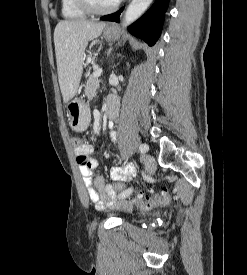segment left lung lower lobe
Listing matches in <instances>:
<instances>
[{"instance_id": "left-lung-lower-lobe-1", "label": "left lung lower lobe", "mask_w": 247, "mask_h": 275, "mask_svg": "<svg viewBox=\"0 0 247 275\" xmlns=\"http://www.w3.org/2000/svg\"><path fill=\"white\" fill-rule=\"evenodd\" d=\"M167 6L168 0H156L140 19L128 27V31L132 35L143 39L149 46H153L160 36ZM122 11L123 8L100 19L119 22V16Z\"/></svg>"}]
</instances>
